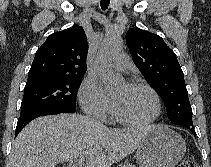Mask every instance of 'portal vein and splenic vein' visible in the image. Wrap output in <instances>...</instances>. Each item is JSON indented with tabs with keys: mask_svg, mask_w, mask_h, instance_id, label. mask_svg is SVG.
<instances>
[{
	"mask_svg": "<svg viewBox=\"0 0 211 167\" xmlns=\"http://www.w3.org/2000/svg\"><path fill=\"white\" fill-rule=\"evenodd\" d=\"M69 165L71 167H86L85 164H84V159L83 158H79V159H77L75 161H71L69 163Z\"/></svg>",
	"mask_w": 211,
	"mask_h": 167,
	"instance_id": "portal-vein-and-splenic-vein-1",
	"label": "portal vein and splenic vein"
}]
</instances>
